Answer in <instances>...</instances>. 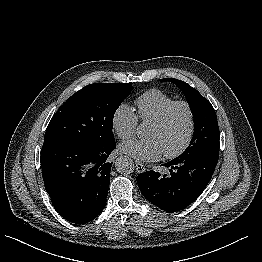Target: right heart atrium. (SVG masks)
<instances>
[{
    "instance_id": "1",
    "label": "right heart atrium",
    "mask_w": 262,
    "mask_h": 262,
    "mask_svg": "<svg viewBox=\"0 0 262 262\" xmlns=\"http://www.w3.org/2000/svg\"><path fill=\"white\" fill-rule=\"evenodd\" d=\"M111 126L113 132L120 139L132 137L138 126V117L134 110L127 104H120L112 114Z\"/></svg>"
}]
</instances>
